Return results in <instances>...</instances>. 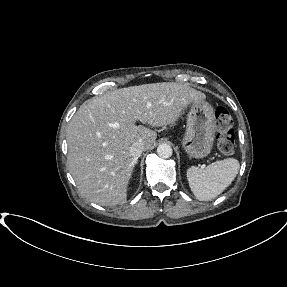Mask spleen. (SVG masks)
<instances>
[{"mask_svg": "<svg viewBox=\"0 0 287 287\" xmlns=\"http://www.w3.org/2000/svg\"><path fill=\"white\" fill-rule=\"evenodd\" d=\"M239 168V161L234 158L213 162L206 168L192 166L187 170V180L196 198L208 201L217 197L232 183Z\"/></svg>", "mask_w": 287, "mask_h": 287, "instance_id": "3e777b00", "label": "spleen"}]
</instances>
